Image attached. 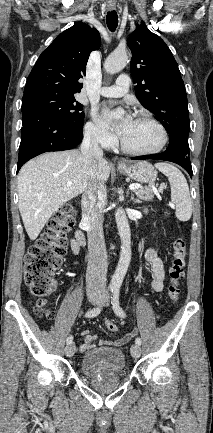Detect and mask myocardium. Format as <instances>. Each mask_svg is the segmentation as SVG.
I'll return each mask as SVG.
<instances>
[{"label": "myocardium", "mask_w": 213, "mask_h": 433, "mask_svg": "<svg viewBox=\"0 0 213 433\" xmlns=\"http://www.w3.org/2000/svg\"><path fill=\"white\" fill-rule=\"evenodd\" d=\"M136 120L147 121V122L151 123L152 125H154L158 129L159 134H160L159 143L157 146H155L152 149L134 150V149H131L128 146H126L124 144V142L122 141V139H120L119 145H120L121 150L127 154L134 155V156H148V155H153V154H156V153H159L160 151H162L168 142V133H167L164 125L158 119H156L154 116L147 114V113L138 114L136 116Z\"/></svg>", "instance_id": "myocardium-1"}]
</instances>
